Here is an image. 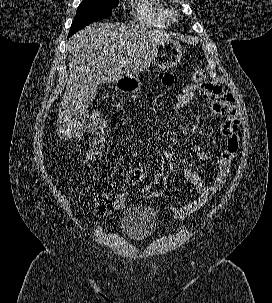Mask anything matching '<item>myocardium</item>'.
Masks as SVG:
<instances>
[{"label":"myocardium","instance_id":"obj_1","mask_svg":"<svg viewBox=\"0 0 272 303\" xmlns=\"http://www.w3.org/2000/svg\"><path fill=\"white\" fill-rule=\"evenodd\" d=\"M170 17H171V18H174V14H170Z\"/></svg>","mask_w":272,"mask_h":303}]
</instances>
